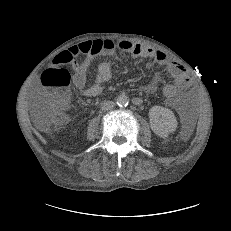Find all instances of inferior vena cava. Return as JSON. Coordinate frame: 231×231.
Listing matches in <instances>:
<instances>
[{
  "label": "inferior vena cava",
  "mask_w": 231,
  "mask_h": 231,
  "mask_svg": "<svg viewBox=\"0 0 231 231\" xmlns=\"http://www.w3.org/2000/svg\"><path fill=\"white\" fill-rule=\"evenodd\" d=\"M114 106H115V103L113 101H105V102L102 103L101 109L103 111H108V110L113 109Z\"/></svg>",
  "instance_id": "602c4592"
}]
</instances>
